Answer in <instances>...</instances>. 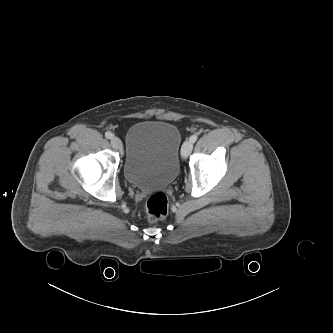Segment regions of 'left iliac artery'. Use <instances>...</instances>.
<instances>
[{
	"label": "left iliac artery",
	"mask_w": 333,
	"mask_h": 333,
	"mask_svg": "<svg viewBox=\"0 0 333 333\" xmlns=\"http://www.w3.org/2000/svg\"><path fill=\"white\" fill-rule=\"evenodd\" d=\"M197 138H198L197 135L194 134V135H192V136L190 137V141H191L192 143H194V142H196Z\"/></svg>",
	"instance_id": "left-iliac-artery-1"
}]
</instances>
